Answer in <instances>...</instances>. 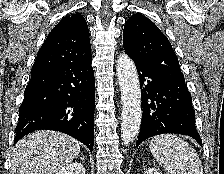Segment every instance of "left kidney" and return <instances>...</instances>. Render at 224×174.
<instances>
[{"instance_id": "1", "label": "left kidney", "mask_w": 224, "mask_h": 174, "mask_svg": "<svg viewBox=\"0 0 224 174\" xmlns=\"http://www.w3.org/2000/svg\"><path fill=\"white\" fill-rule=\"evenodd\" d=\"M144 174H162V173L155 168H148L146 169Z\"/></svg>"}]
</instances>
